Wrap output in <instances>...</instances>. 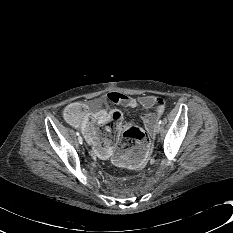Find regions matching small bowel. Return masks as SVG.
<instances>
[{
  "label": "small bowel",
  "mask_w": 233,
  "mask_h": 233,
  "mask_svg": "<svg viewBox=\"0 0 233 233\" xmlns=\"http://www.w3.org/2000/svg\"><path fill=\"white\" fill-rule=\"evenodd\" d=\"M110 103L129 108L138 106L144 109L153 108V112L142 117L147 130L152 132L156 121L164 113L165 100L151 95H142L135 98L119 92H109L96 100L84 102L82 104L85 107L84 114L78 123L72 124L81 130L95 156L108 159L115 164L124 165L128 169L138 170L150 155L149 146L145 143H138L132 148H120L116 145V140L103 137L96 128V125H98L104 133H107L111 126H114L119 131L123 119L121 112L118 110L107 112L103 109V106ZM105 116L108 117L106 120H104Z\"/></svg>",
  "instance_id": "small-bowel-1"
}]
</instances>
